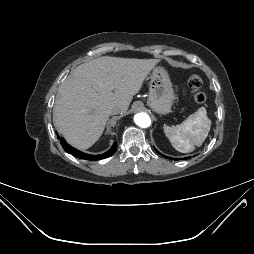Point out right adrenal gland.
<instances>
[{"mask_svg": "<svg viewBox=\"0 0 254 254\" xmlns=\"http://www.w3.org/2000/svg\"><path fill=\"white\" fill-rule=\"evenodd\" d=\"M109 132H110V127H109V122H108L106 125V133L105 134H108Z\"/></svg>", "mask_w": 254, "mask_h": 254, "instance_id": "1", "label": "right adrenal gland"}]
</instances>
